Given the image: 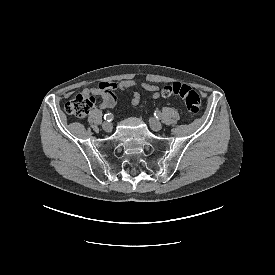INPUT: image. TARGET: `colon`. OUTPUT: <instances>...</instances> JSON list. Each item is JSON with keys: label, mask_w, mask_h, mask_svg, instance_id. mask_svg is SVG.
Listing matches in <instances>:
<instances>
[{"label": "colon", "mask_w": 275, "mask_h": 275, "mask_svg": "<svg viewBox=\"0 0 275 275\" xmlns=\"http://www.w3.org/2000/svg\"><path fill=\"white\" fill-rule=\"evenodd\" d=\"M161 93L164 97L177 96L181 98L186 106L187 116L189 119L195 118L200 112L201 100L199 94L189 85L182 82H173L165 85ZM94 104L92 95H76L65 104V111L77 118H83L88 114Z\"/></svg>", "instance_id": "colon-1"}]
</instances>
